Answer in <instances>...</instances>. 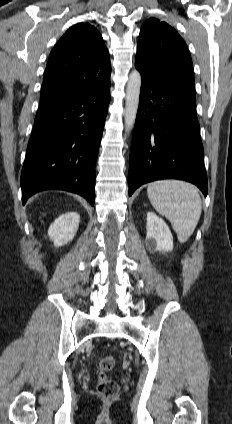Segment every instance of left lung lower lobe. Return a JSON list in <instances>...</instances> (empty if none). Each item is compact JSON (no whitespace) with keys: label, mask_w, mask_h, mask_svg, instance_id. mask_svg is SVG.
<instances>
[{"label":"left lung lower lobe","mask_w":232,"mask_h":424,"mask_svg":"<svg viewBox=\"0 0 232 424\" xmlns=\"http://www.w3.org/2000/svg\"><path fill=\"white\" fill-rule=\"evenodd\" d=\"M194 82L142 79L130 152L129 196L142 184L181 179L207 195Z\"/></svg>","instance_id":"obj_1"}]
</instances>
